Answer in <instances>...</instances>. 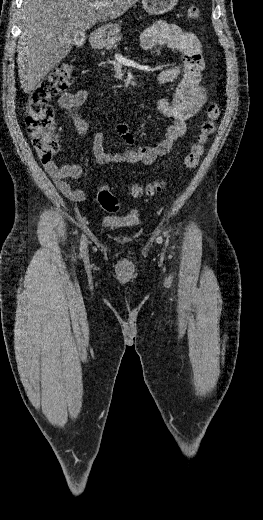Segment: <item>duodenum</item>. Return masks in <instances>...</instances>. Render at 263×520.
Here are the masks:
<instances>
[{"mask_svg": "<svg viewBox=\"0 0 263 520\" xmlns=\"http://www.w3.org/2000/svg\"><path fill=\"white\" fill-rule=\"evenodd\" d=\"M97 44V39H96V36L93 37V45L96 46Z\"/></svg>", "mask_w": 263, "mask_h": 520, "instance_id": "duodenum-1", "label": "duodenum"}]
</instances>
